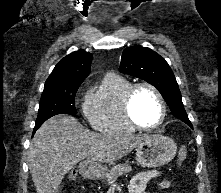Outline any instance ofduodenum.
<instances>
[{
    "label": "duodenum",
    "mask_w": 221,
    "mask_h": 193,
    "mask_svg": "<svg viewBox=\"0 0 221 193\" xmlns=\"http://www.w3.org/2000/svg\"><path fill=\"white\" fill-rule=\"evenodd\" d=\"M82 169H83V171L88 172L90 170V165L87 163H84L82 165Z\"/></svg>",
    "instance_id": "duodenum-1"
}]
</instances>
